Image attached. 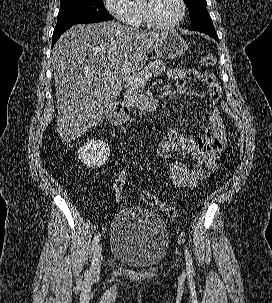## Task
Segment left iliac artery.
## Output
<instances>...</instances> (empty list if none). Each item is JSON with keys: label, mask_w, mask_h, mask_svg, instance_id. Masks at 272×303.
Masks as SVG:
<instances>
[{"label": "left iliac artery", "mask_w": 272, "mask_h": 303, "mask_svg": "<svg viewBox=\"0 0 272 303\" xmlns=\"http://www.w3.org/2000/svg\"><path fill=\"white\" fill-rule=\"evenodd\" d=\"M185 252V257H186V266L187 269L191 272L193 271V260H192V256L190 254V252L188 251V249H184Z\"/></svg>", "instance_id": "44dca946"}]
</instances>
